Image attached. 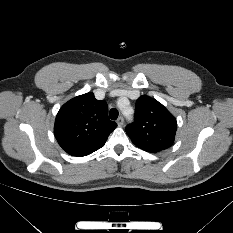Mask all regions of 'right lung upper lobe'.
I'll list each match as a JSON object with an SVG mask.
<instances>
[{
  "instance_id": "1",
  "label": "right lung upper lobe",
  "mask_w": 233,
  "mask_h": 233,
  "mask_svg": "<svg viewBox=\"0 0 233 233\" xmlns=\"http://www.w3.org/2000/svg\"><path fill=\"white\" fill-rule=\"evenodd\" d=\"M117 124L108 118L107 104L93 93L77 96L59 110L54 133L70 155L82 157L100 149Z\"/></svg>"
}]
</instances>
